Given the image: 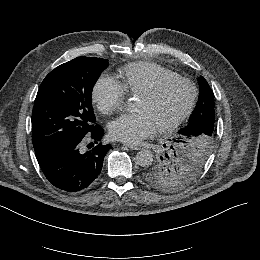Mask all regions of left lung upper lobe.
<instances>
[{"mask_svg": "<svg viewBox=\"0 0 260 260\" xmlns=\"http://www.w3.org/2000/svg\"><path fill=\"white\" fill-rule=\"evenodd\" d=\"M199 101L214 104V96L201 76ZM198 101V102H199ZM187 126L170 139L150 165L142 170V177L150 186L162 191H176L192 183L203 170L213 150L215 131L207 134L189 132Z\"/></svg>", "mask_w": 260, "mask_h": 260, "instance_id": "obj_1", "label": "left lung upper lobe"}]
</instances>
